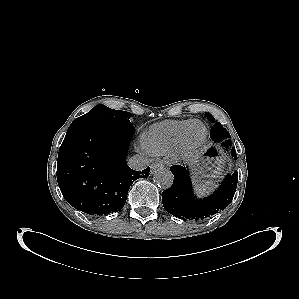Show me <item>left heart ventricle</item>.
<instances>
[{"instance_id": "left-heart-ventricle-1", "label": "left heart ventricle", "mask_w": 299, "mask_h": 299, "mask_svg": "<svg viewBox=\"0 0 299 299\" xmlns=\"http://www.w3.org/2000/svg\"><path fill=\"white\" fill-rule=\"evenodd\" d=\"M202 135H203L202 126L200 124H193L187 133V138H186L187 145L190 147L196 145L201 140Z\"/></svg>"}]
</instances>
